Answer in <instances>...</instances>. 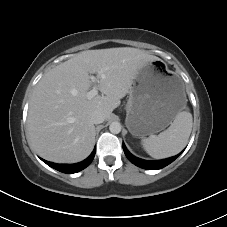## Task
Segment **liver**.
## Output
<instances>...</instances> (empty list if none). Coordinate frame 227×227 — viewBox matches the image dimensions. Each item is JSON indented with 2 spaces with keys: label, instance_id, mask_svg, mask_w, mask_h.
Returning <instances> with one entry per match:
<instances>
[{
  "label": "liver",
  "instance_id": "6515ba94",
  "mask_svg": "<svg viewBox=\"0 0 227 227\" xmlns=\"http://www.w3.org/2000/svg\"><path fill=\"white\" fill-rule=\"evenodd\" d=\"M158 59L136 48H108L83 51L51 69L36 85L29 104L27 130L35 151L56 163L84 160L95 142L92 113L99 110L109 119L130 92L138 69ZM91 73L99 75L102 95L88 99Z\"/></svg>",
  "mask_w": 227,
  "mask_h": 227
}]
</instances>
